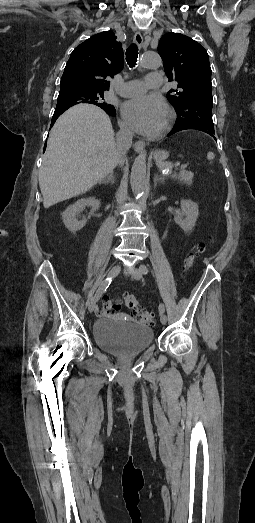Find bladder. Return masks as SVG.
<instances>
[{"mask_svg":"<svg viewBox=\"0 0 255 523\" xmlns=\"http://www.w3.org/2000/svg\"><path fill=\"white\" fill-rule=\"evenodd\" d=\"M92 337L108 353L127 355L142 352L152 344L153 329L131 319L105 316L93 327Z\"/></svg>","mask_w":255,"mask_h":523,"instance_id":"obj_1","label":"bladder"}]
</instances>
